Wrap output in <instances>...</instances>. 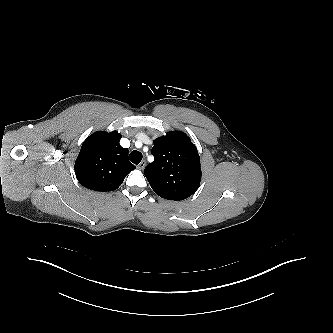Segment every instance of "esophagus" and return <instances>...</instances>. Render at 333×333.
<instances>
[{"label":"esophagus","mask_w":333,"mask_h":333,"mask_svg":"<svg viewBox=\"0 0 333 333\" xmlns=\"http://www.w3.org/2000/svg\"><path fill=\"white\" fill-rule=\"evenodd\" d=\"M145 166H146V161L143 160L137 165V168L143 170Z\"/></svg>","instance_id":"34e87169"}]
</instances>
